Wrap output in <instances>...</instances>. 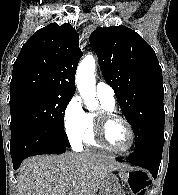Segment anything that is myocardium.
I'll return each instance as SVG.
<instances>
[{"mask_svg": "<svg viewBox=\"0 0 178 195\" xmlns=\"http://www.w3.org/2000/svg\"><path fill=\"white\" fill-rule=\"evenodd\" d=\"M113 121L122 122L126 126L130 134V139H131L130 144L125 149H118L112 147L106 139V128L109 125V123ZM94 122H95V127H94L95 139L101 147L115 153H128L132 150V148L135 145L136 136L132 125L129 123L127 119L115 113L114 111L100 110L99 113L95 116Z\"/></svg>", "mask_w": 178, "mask_h": 195, "instance_id": "myocardium-1", "label": "myocardium"}]
</instances>
